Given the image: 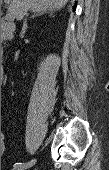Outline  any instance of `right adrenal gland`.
<instances>
[{"label":"right adrenal gland","mask_w":109,"mask_h":170,"mask_svg":"<svg viewBox=\"0 0 109 170\" xmlns=\"http://www.w3.org/2000/svg\"><path fill=\"white\" fill-rule=\"evenodd\" d=\"M49 14L50 16L52 15V10H48V11H38V12H36L34 15H32L30 18H34V17H36V16H40V15H43V14ZM25 28H27V25H26V27Z\"/></svg>","instance_id":"obj_1"}]
</instances>
